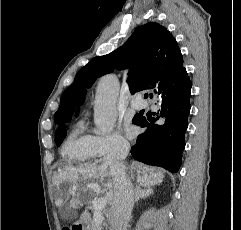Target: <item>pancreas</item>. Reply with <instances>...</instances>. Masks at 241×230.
Returning a JSON list of instances; mask_svg holds the SVG:
<instances>
[{"label":"pancreas","mask_w":241,"mask_h":230,"mask_svg":"<svg viewBox=\"0 0 241 230\" xmlns=\"http://www.w3.org/2000/svg\"><path fill=\"white\" fill-rule=\"evenodd\" d=\"M105 225L106 224L104 222V216L102 213H101V220L99 222H96L94 220V217H93V219L89 220L90 230H103V226H105Z\"/></svg>","instance_id":"1"}]
</instances>
